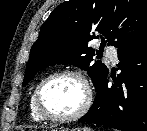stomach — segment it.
<instances>
[{"label": "stomach", "mask_w": 147, "mask_h": 131, "mask_svg": "<svg viewBox=\"0 0 147 131\" xmlns=\"http://www.w3.org/2000/svg\"><path fill=\"white\" fill-rule=\"evenodd\" d=\"M53 131H93V130H91L89 128H73V129H68V128L61 127V128L55 129Z\"/></svg>", "instance_id": "stomach-1"}]
</instances>
